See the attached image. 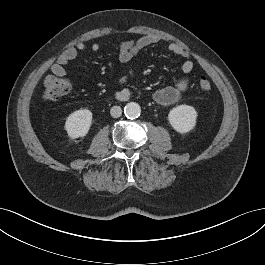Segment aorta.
<instances>
[{
    "instance_id": "762f6f07",
    "label": "aorta",
    "mask_w": 265,
    "mask_h": 265,
    "mask_svg": "<svg viewBox=\"0 0 265 265\" xmlns=\"http://www.w3.org/2000/svg\"><path fill=\"white\" fill-rule=\"evenodd\" d=\"M124 113L127 118L135 119L141 113V108L138 103L130 102L124 107Z\"/></svg>"
}]
</instances>
